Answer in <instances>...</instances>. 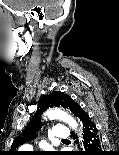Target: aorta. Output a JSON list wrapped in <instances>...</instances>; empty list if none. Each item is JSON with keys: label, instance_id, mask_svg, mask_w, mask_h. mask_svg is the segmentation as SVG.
<instances>
[{"label": "aorta", "instance_id": "obj_1", "mask_svg": "<svg viewBox=\"0 0 119 155\" xmlns=\"http://www.w3.org/2000/svg\"><path fill=\"white\" fill-rule=\"evenodd\" d=\"M45 118L50 120L58 119L67 123L73 129H76L78 126L74 118L60 108L49 109L45 113Z\"/></svg>", "mask_w": 119, "mask_h": 155}]
</instances>
